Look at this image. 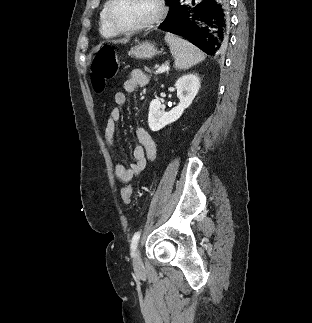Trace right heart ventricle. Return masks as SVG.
Instances as JSON below:
<instances>
[{
    "mask_svg": "<svg viewBox=\"0 0 312 323\" xmlns=\"http://www.w3.org/2000/svg\"><path fill=\"white\" fill-rule=\"evenodd\" d=\"M95 18L98 33H114V23L107 13H96Z\"/></svg>",
    "mask_w": 312,
    "mask_h": 323,
    "instance_id": "1",
    "label": "right heart ventricle"
}]
</instances>
